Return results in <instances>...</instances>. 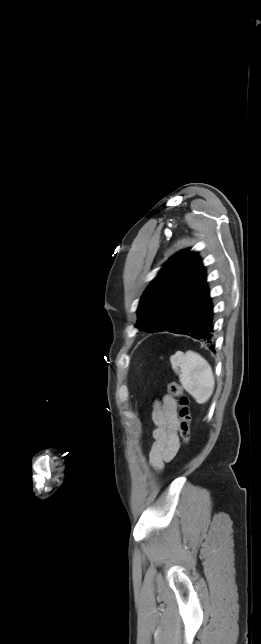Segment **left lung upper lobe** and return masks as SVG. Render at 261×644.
I'll return each instance as SVG.
<instances>
[{
	"label": "left lung upper lobe",
	"instance_id": "5c2ea615",
	"mask_svg": "<svg viewBox=\"0 0 261 644\" xmlns=\"http://www.w3.org/2000/svg\"><path fill=\"white\" fill-rule=\"evenodd\" d=\"M209 296L206 271L197 253L171 257L145 290L138 308V329L169 331L183 322Z\"/></svg>",
	"mask_w": 261,
	"mask_h": 644
}]
</instances>
